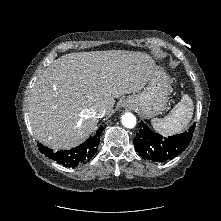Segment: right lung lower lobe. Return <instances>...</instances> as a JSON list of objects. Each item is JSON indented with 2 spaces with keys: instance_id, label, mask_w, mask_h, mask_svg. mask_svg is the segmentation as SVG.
Segmentation results:
<instances>
[{
  "instance_id": "obj_1",
  "label": "right lung lower lobe",
  "mask_w": 221,
  "mask_h": 221,
  "mask_svg": "<svg viewBox=\"0 0 221 221\" xmlns=\"http://www.w3.org/2000/svg\"><path fill=\"white\" fill-rule=\"evenodd\" d=\"M102 126L99 127L96 134L89 137L87 141L68 151L53 152L51 149L38 143L39 150L48 158L67 167H76L88 162L97 152Z\"/></svg>"
}]
</instances>
